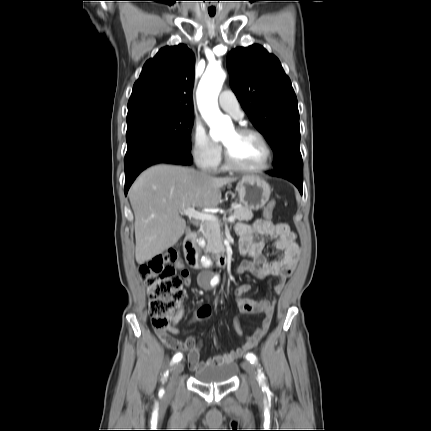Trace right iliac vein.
I'll use <instances>...</instances> for the list:
<instances>
[{"label": "right iliac vein", "mask_w": 431, "mask_h": 431, "mask_svg": "<svg viewBox=\"0 0 431 431\" xmlns=\"http://www.w3.org/2000/svg\"><path fill=\"white\" fill-rule=\"evenodd\" d=\"M183 369H184V364H183V362H178V363H176V364L174 365V367H173V371H172V381H171V384H170V389H172V388L174 387L175 382H176V380H177L178 376H179V375L181 374V372L183 371Z\"/></svg>", "instance_id": "1"}]
</instances>
